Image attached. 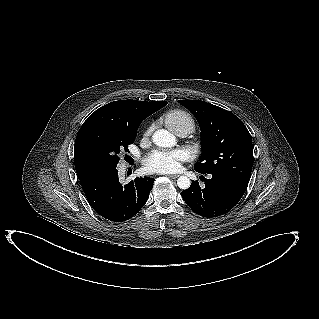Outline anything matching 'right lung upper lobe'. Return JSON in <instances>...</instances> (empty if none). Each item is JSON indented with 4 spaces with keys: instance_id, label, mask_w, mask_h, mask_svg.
Returning a JSON list of instances; mask_svg holds the SVG:
<instances>
[{
    "instance_id": "obj_1",
    "label": "right lung upper lobe",
    "mask_w": 319,
    "mask_h": 319,
    "mask_svg": "<svg viewBox=\"0 0 319 319\" xmlns=\"http://www.w3.org/2000/svg\"><path fill=\"white\" fill-rule=\"evenodd\" d=\"M168 102H146L137 100H119L97 109L83 124H105L118 127L136 136L139 124ZM76 168L79 180H83L95 171Z\"/></svg>"
}]
</instances>
